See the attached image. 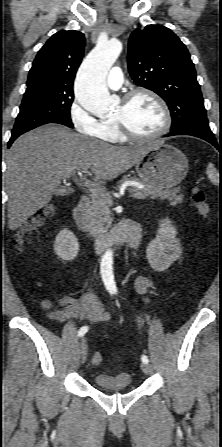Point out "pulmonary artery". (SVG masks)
I'll return each instance as SVG.
<instances>
[{"instance_id":"pulmonary-artery-1","label":"pulmonary artery","mask_w":222,"mask_h":447,"mask_svg":"<svg viewBox=\"0 0 222 447\" xmlns=\"http://www.w3.org/2000/svg\"><path fill=\"white\" fill-rule=\"evenodd\" d=\"M122 83V71L119 67H114L107 78V85L112 89H118L122 86Z\"/></svg>"}]
</instances>
